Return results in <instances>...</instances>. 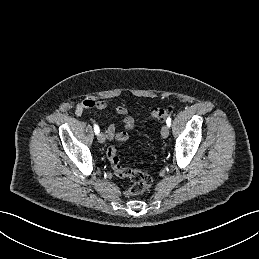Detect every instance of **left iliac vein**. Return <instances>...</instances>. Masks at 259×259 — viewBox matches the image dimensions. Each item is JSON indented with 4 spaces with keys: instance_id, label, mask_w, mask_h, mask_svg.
I'll return each instance as SVG.
<instances>
[{
    "instance_id": "4c4485c4",
    "label": "left iliac vein",
    "mask_w": 259,
    "mask_h": 259,
    "mask_svg": "<svg viewBox=\"0 0 259 259\" xmlns=\"http://www.w3.org/2000/svg\"><path fill=\"white\" fill-rule=\"evenodd\" d=\"M161 136L167 138L169 136V126L163 125L161 128Z\"/></svg>"
}]
</instances>
